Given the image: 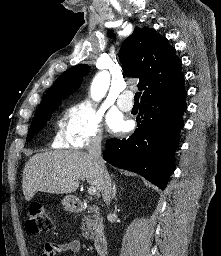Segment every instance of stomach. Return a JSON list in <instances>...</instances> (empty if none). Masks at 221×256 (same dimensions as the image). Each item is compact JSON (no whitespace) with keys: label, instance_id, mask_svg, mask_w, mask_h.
I'll list each match as a JSON object with an SVG mask.
<instances>
[{"label":"stomach","instance_id":"obj_1","mask_svg":"<svg viewBox=\"0 0 221 256\" xmlns=\"http://www.w3.org/2000/svg\"><path fill=\"white\" fill-rule=\"evenodd\" d=\"M62 205L67 211H73L74 210V197L73 196H66L62 200Z\"/></svg>","mask_w":221,"mask_h":256}]
</instances>
